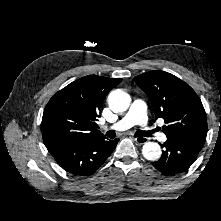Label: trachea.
<instances>
[{"label": "trachea", "mask_w": 221, "mask_h": 221, "mask_svg": "<svg viewBox=\"0 0 221 221\" xmlns=\"http://www.w3.org/2000/svg\"><path fill=\"white\" fill-rule=\"evenodd\" d=\"M137 136H145V137H150L151 136V131H136ZM106 136L113 139L116 136V133L114 131H107Z\"/></svg>", "instance_id": "3493384b"}]
</instances>
